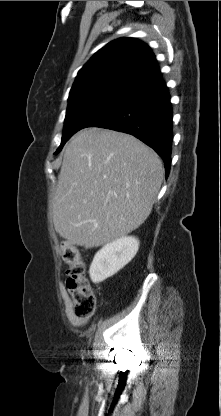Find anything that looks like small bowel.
I'll list each match as a JSON object with an SVG mask.
<instances>
[{
	"label": "small bowel",
	"instance_id": "small-bowel-1",
	"mask_svg": "<svg viewBox=\"0 0 221 416\" xmlns=\"http://www.w3.org/2000/svg\"><path fill=\"white\" fill-rule=\"evenodd\" d=\"M60 293H61L62 299L64 300L65 312L70 323L74 326L84 325L88 321V318H80L74 315L73 310H72V302H71L69 293L63 285L60 287Z\"/></svg>",
	"mask_w": 221,
	"mask_h": 416
}]
</instances>
